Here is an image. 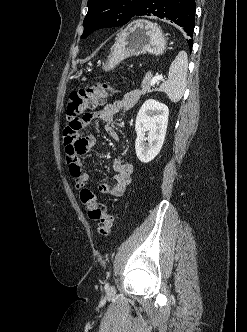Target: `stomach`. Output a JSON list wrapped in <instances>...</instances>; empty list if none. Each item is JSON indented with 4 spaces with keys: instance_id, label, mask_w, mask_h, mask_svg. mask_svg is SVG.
Masks as SVG:
<instances>
[{
    "instance_id": "0dacf381",
    "label": "stomach",
    "mask_w": 247,
    "mask_h": 332,
    "mask_svg": "<svg viewBox=\"0 0 247 332\" xmlns=\"http://www.w3.org/2000/svg\"><path fill=\"white\" fill-rule=\"evenodd\" d=\"M165 50L166 39L160 27L150 21L139 19L122 31L102 67L109 71L129 57L145 53L162 55Z\"/></svg>"
}]
</instances>
